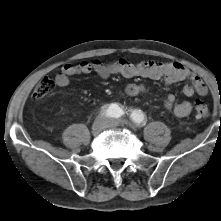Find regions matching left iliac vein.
<instances>
[{
  "mask_svg": "<svg viewBox=\"0 0 221 221\" xmlns=\"http://www.w3.org/2000/svg\"><path fill=\"white\" fill-rule=\"evenodd\" d=\"M120 123H121V121L118 119H111V120H108L107 127H117L120 125Z\"/></svg>",
  "mask_w": 221,
  "mask_h": 221,
  "instance_id": "obj_1",
  "label": "left iliac vein"
}]
</instances>
